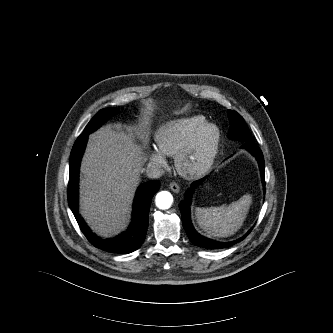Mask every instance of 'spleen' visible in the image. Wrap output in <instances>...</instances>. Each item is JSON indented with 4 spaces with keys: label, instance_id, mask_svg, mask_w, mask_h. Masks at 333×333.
<instances>
[{
    "label": "spleen",
    "instance_id": "3e777b00",
    "mask_svg": "<svg viewBox=\"0 0 333 333\" xmlns=\"http://www.w3.org/2000/svg\"><path fill=\"white\" fill-rule=\"evenodd\" d=\"M252 197L250 194L228 206L195 209V218L199 227L209 237H228L235 234L243 225Z\"/></svg>",
    "mask_w": 333,
    "mask_h": 333
}]
</instances>
